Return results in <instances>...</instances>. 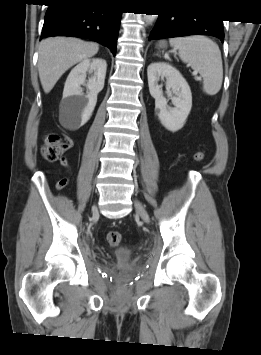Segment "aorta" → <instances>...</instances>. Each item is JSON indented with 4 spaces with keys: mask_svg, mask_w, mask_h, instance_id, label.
<instances>
[{
    "mask_svg": "<svg viewBox=\"0 0 261 355\" xmlns=\"http://www.w3.org/2000/svg\"><path fill=\"white\" fill-rule=\"evenodd\" d=\"M157 18V15H144V19L148 23H152Z\"/></svg>",
    "mask_w": 261,
    "mask_h": 355,
    "instance_id": "762f6f07",
    "label": "aorta"
}]
</instances>
